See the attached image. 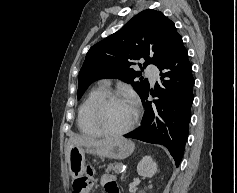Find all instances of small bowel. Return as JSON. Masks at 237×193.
<instances>
[{
  "instance_id": "obj_1",
  "label": "small bowel",
  "mask_w": 237,
  "mask_h": 193,
  "mask_svg": "<svg viewBox=\"0 0 237 193\" xmlns=\"http://www.w3.org/2000/svg\"><path fill=\"white\" fill-rule=\"evenodd\" d=\"M101 184L106 193H119L115 179L110 174H104L101 177Z\"/></svg>"
}]
</instances>
